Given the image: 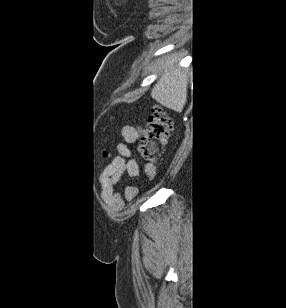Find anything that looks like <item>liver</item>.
I'll use <instances>...</instances> for the list:
<instances>
[{
	"label": "liver",
	"instance_id": "obj_1",
	"mask_svg": "<svg viewBox=\"0 0 286 308\" xmlns=\"http://www.w3.org/2000/svg\"><path fill=\"white\" fill-rule=\"evenodd\" d=\"M177 60L166 59L160 65L162 75L151 90L158 103L171 110L181 112L187 103L188 74L174 67Z\"/></svg>",
	"mask_w": 286,
	"mask_h": 308
}]
</instances>
